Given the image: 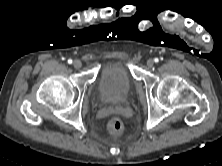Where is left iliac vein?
I'll return each mask as SVG.
<instances>
[{
    "label": "left iliac vein",
    "instance_id": "left-iliac-vein-1",
    "mask_svg": "<svg viewBox=\"0 0 222 166\" xmlns=\"http://www.w3.org/2000/svg\"><path fill=\"white\" fill-rule=\"evenodd\" d=\"M154 65V60L153 59H149L148 61H147V66L148 67H152Z\"/></svg>",
    "mask_w": 222,
    "mask_h": 166
}]
</instances>
